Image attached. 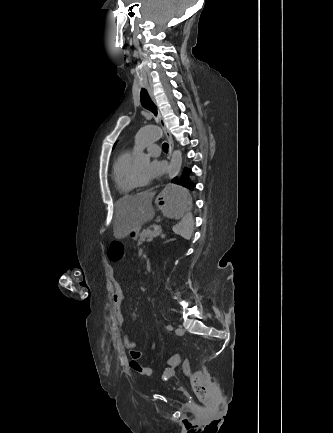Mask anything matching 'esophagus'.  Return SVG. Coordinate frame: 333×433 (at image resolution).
Listing matches in <instances>:
<instances>
[{
    "label": "esophagus",
    "mask_w": 333,
    "mask_h": 433,
    "mask_svg": "<svg viewBox=\"0 0 333 433\" xmlns=\"http://www.w3.org/2000/svg\"><path fill=\"white\" fill-rule=\"evenodd\" d=\"M148 92H149V95H150L152 101L155 102V98L153 96L152 91L149 89ZM158 121H159V124L162 128V131L164 132V134L168 140V144H169V146H168V158L170 159L171 155H172L173 148H174L173 138H172V135L169 132L168 128L166 127L165 120H164V118L160 112L158 114Z\"/></svg>",
    "instance_id": "esophagus-1"
}]
</instances>
